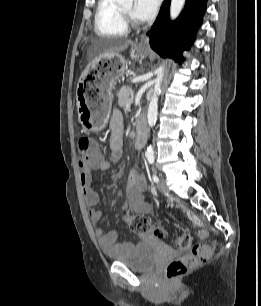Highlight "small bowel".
<instances>
[{"label": "small bowel", "mask_w": 261, "mask_h": 306, "mask_svg": "<svg viewBox=\"0 0 261 306\" xmlns=\"http://www.w3.org/2000/svg\"><path fill=\"white\" fill-rule=\"evenodd\" d=\"M110 154L108 159H102L98 163L84 167L80 173V184L82 193L87 206L88 215L93 223L99 222L103 218V212L97 208L98 195L92 188L93 171H107L117 165L123 157V116L118 110L112 113L110 119ZM147 190V183L143 174L132 169L129 173L127 183L125 185V206L135 213H150V204L145 200L144 194ZM95 236L101 248L109 253H127L131 250L132 245L128 243H120L119 232H105L102 228L94 229Z\"/></svg>", "instance_id": "1"}]
</instances>
